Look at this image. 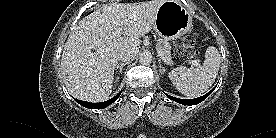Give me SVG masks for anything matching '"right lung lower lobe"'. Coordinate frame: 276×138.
Here are the masks:
<instances>
[{"mask_svg":"<svg viewBox=\"0 0 276 138\" xmlns=\"http://www.w3.org/2000/svg\"><path fill=\"white\" fill-rule=\"evenodd\" d=\"M121 92L116 95L115 97L105 101V102H101V103H90V102H85V101H81L78 99H75L76 102H78L80 105L86 107V108H90V109H103L106 108L107 106H109L110 104H112L114 101H116L119 96H120Z\"/></svg>","mask_w":276,"mask_h":138,"instance_id":"1","label":"right lung lower lobe"}]
</instances>
